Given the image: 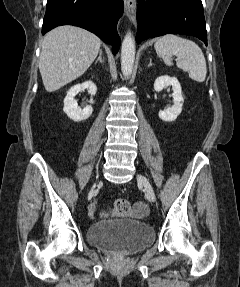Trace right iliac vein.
<instances>
[{"label": "right iliac vein", "mask_w": 240, "mask_h": 287, "mask_svg": "<svg viewBox=\"0 0 240 287\" xmlns=\"http://www.w3.org/2000/svg\"><path fill=\"white\" fill-rule=\"evenodd\" d=\"M96 184H94V186L92 187V189L89 192V196H91L94 193V189H95Z\"/></svg>", "instance_id": "63e3f726"}]
</instances>
